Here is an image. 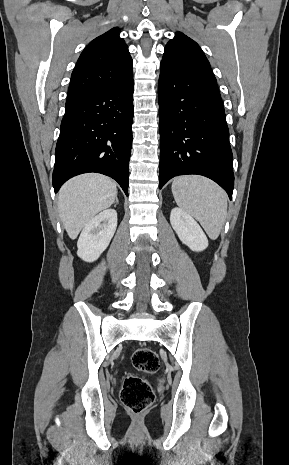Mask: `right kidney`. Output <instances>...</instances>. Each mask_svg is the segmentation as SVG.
<instances>
[{
	"label": "right kidney",
	"mask_w": 289,
	"mask_h": 465,
	"mask_svg": "<svg viewBox=\"0 0 289 465\" xmlns=\"http://www.w3.org/2000/svg\"><path fill=\"white\" fill-rule=\"evenodd\" d=\"M116 228V210L106 209L99 213L83 228L77 242V255L86 262L97 260L108 247Z\"/></svg>",
	"instance_id": "right-kidney-1"
}]
</instances>
